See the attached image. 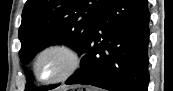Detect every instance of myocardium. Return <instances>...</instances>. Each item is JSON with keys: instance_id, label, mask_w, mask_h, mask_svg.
<instances>
[{"instance_id": "obj_1", "label": "myocardium", "mask_w": 173, "mask_h": 91, "mask_svg": "<svg viewBox=\"0 0 173 91\" xmlns=\"http://www.w3.org/2000/svg\"><path fill=\"white\" fill-rule=\"evenodd\" d=\"M49 55L59 56L63 61V66L56 74L44 77L40 72V66L42 60ZM81 62V55L73 45L66 42H52L37 53L33 63V73L40 83L52 85L71 77L79 69Z\"/></svg>"}]
</instances>
